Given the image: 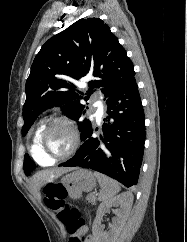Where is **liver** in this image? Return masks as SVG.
Wrapping results in <instances>:
<instances>
[{
    "mask_svg": "<svg viewBox=\"0 0 187 242\" xmlns=\"http://www.w3.org/2000/svg\"><path fill=\"white\" fill-rule=\"evenodd\" d=\"M72 169H61L57 168L49 171H41L33 176L32 184L34 185L36 191H39L40 187L47 183L53 182L54 179L60 177L64 173L71 171Z\"/></svg>",
    "mask_w": 187,
    "mask_h": 242,
    "instance_id": "obj_1",
    "label": "liver"
}]
</instances>
